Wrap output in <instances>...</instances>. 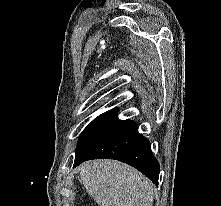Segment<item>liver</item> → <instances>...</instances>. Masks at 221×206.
Returning a JSON list of instances; mask_svg holds the SVG:
<instances>
[{
  "mask_svg": "<svg viewBox=\"0 0 221 206\" xmlns=\"http://www.w3.org/2000/svg\"><path fill=\"white\" fill-rule=\"evenodd\" d=\"M80 176L99 206H152L153 185L136 169L113 160L81 165Z\"/></svg>",
  "mask_w": 221,
  "mask_h": 206,
  "instance_id": "obj_1",
  "label": "liver"
}]
</instances>
